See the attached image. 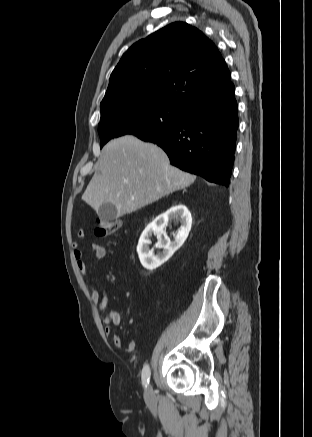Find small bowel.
<instances>
[{
	"instance_id": "c3829d8e",
	"label": "small bowel",
	"mask_w": 312,
	"mask_h": 437,
	"mask_svg": "<svg viewBox=\"0 0 312 437\" xmlns=\"http://www.w3.org/2000/svg\"><path fill=\"white\" fill-rule=\"evenodd\" d=\"M77 237L78 239L83 240L85 238V231L80 229L77 232ZM90 249L95 260H101L107 255V249L98 243H92ZM73 253L77 267L84 276L85 284L90 292L91 298L98 306L102 314V321L105 324L104 332L106 337L113 343L115 347L122 348L126 353L134 352L136 348V343L134 341H130L124 344L113 329L114 325H119L121 323V316L117 311L108 309L110 301V294L108 290L106 288H101L100 290H98L91 283L87 275L88 265L84 260V252L77 242L73 243Z\"/></svg>"
}]
</instances>
